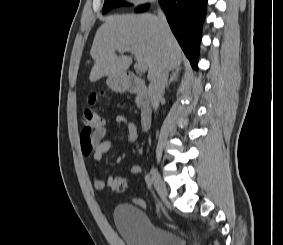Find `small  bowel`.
<instances>
[{"label":"small bowel","instance_id":"obj_1","mask_svg":"<svg viewBox=\"0 0 283 245\" xmlns=\"http://www.w3.org/2000/svg\"><path fill=\"white\" fill-rule=\"evenodd\" d=\"M117 125L124 126L127 129L128 142H135L138 139L139 133L136 125L129 121L125 116L118 115L115 118ZM107 128L105 125H101L90 130L82 129L80 133V145L82 152L85 156L91 157L95 163H98L104 154L109 152L114 145L112 140L106 139ZM131 175H137L141 173V167L135 164L129 168ZM114 176H110L107 180L99 177L93 178V185L95 189L99 191L112 188Z\"/></svg>","mask_w":283,"mask_h":245}]
</instances>
